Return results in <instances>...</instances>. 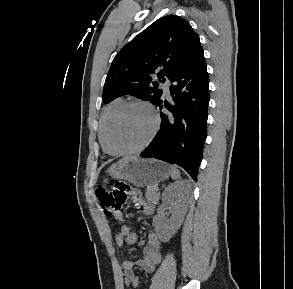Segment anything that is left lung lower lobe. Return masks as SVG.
Segmentation results:
<instances>
[{
  "mask_svg": "<svg viewBox=\"0 0 293 289\" xmlns=\"http://www.w3.org/2000/svg\"><path fill=\"white\" fill-rule=\"evenodd\" d=\"M172 103L164 102L161 127L140 157L177 164L196 180L207 137L209 81L203 51L171 79ZM162 109V99L156 104Z\"/></svg>",
  "mask_w": 293,
  "mask_h": 289,
  "instance_id": "left-lung-lower-lobe-1",
  "label": "left lung lower lobe"
}]
</instances>
